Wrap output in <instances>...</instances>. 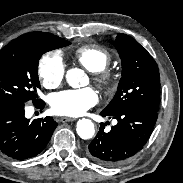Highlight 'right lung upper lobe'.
Listing matches in <instances>:
<instances>
[{"label": "right lung upper lobe", "mask_w": 183, "mask_h": 183, "mask_svg": "<svg viewBox=\"0 0 183 183\" xmlns=\"http://www.w3.org/2000/svg\"><path fill=\"white\" fill-rule=\"evenodd\" d=\"M30 38H39L41 40L48 41V42H55V41H59L60 39H62L58 36L52 35L47 32H30V33L21 35L20 37L16 38L15 40L12 41V43L20 41V40H24V39H30Z\"/></svg>", "instance_id": "1"}]
</instances>
